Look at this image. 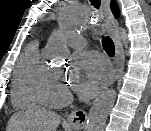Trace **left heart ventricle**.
I'll list each match as a JSON object with an SVG mask.
<instances>
[{
  "label": "left heart ventricle",
  "mask_w": 151,
  "mask_h": 131,
  "mask_svg": "<svg viewBox=\"0 0 151 131\" xmlns=\"http://www.w3.org/2000/svg\"><path fill=\"white\" fill-rule=\"evenodd\" d=\"M56 74L51 82V88L54 92H61L65 89L68 90L67 85L65 83L62 70L61 69H54Z\"/></svg>",
  "instance_id": "b2bd125f"
}]
</instances>
